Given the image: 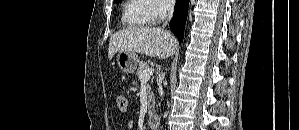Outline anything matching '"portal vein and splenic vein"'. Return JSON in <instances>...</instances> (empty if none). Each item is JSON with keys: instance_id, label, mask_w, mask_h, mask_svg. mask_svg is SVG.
Here are the masks:
<instances>
[{"instance_id": "1", "label": "portal vein and splenic vein", "mask_w": 299, "mask_h": 130, "mask_svg": "<svg viewBox=\"0 0 299 130\" xmlns=\"http://www.w3.org/2000/svg\"><path fill=\"white\" fill-rule=\"evenodd\" d=\"M153 72H154L153 68H149V69L145 70L141 76L142 82H147L150 79Z\"/></svg>"}]
</instances>
